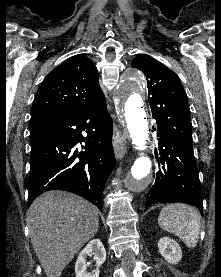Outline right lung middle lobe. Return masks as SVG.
<instances>
[{
	"instance_id": "obj_1",
	"label": "right lung middle lobe",
	"mask_w": 221,
	"mask_h": 277,
	"mask_svg": "<svg viewBox=\"0 0 221 277\" xmlns=\"http://www.w3.org/2000/svg\"><path fill=\"white\" fill-rule=\"evenodd\" d=\"M39 135H40L39 131H37L33 128H30V141H32L33 139H35Z\"/></svg>"
}]
</instances>
